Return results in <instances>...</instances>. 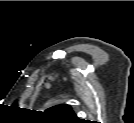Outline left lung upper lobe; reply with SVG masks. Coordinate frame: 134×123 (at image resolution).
Listing matches in <instances>:
<instances>
[{
  "label": "left lung upper lobe",
  "mask_w": 134,
  "mask_h": 123,
  "mask_svg": "<svg viewBox=\"0 0 134 123\" xmlns=\"http://www.w3.org/2000/svg\"><path fill=\"white\" fill-rule=\"evenodd\" d=\"M45 112L60 120H66L70 122H76L79 120L75 113L72 111L71 107L67 104L53 106L47 109Z\"/></svg>",
  "instance_id": "5c2ea615"
}]
</instances>
